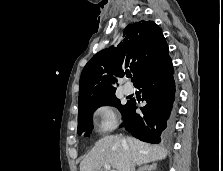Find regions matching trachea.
Here are the masks:
<instances>
[{
  "label": "trachea",
  "instance_id": "3493384b",
  "mask_svg": "<svg viewBox=\"0 0 223 171\" xmlns=\"http://www.w3.org/2000/svg\"><path fill=\"white\" fill-rule=\"evenodd\" d=\"M132 76V74L131 73H127V77H131Z\"/></svg>",
  "mask_w": 223,
  "mask_h": 171
}]
</instances>
